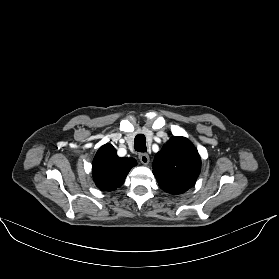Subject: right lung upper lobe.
<instances>
[{
	"label": "right lung upper lobe",
	"mask_w": 279,
	"mask_h": 279,
	"mask_svg": "<svg viewBox=\"0 0 279 279\" xmlns=\"http://www.w3.org/2000/svg\"><path fill=\"white\" fill-rule=\"evenodd\" d=\"M135 165L134 158H120L111 144L103 145L97 151L92 164L96 186L103 191H114L122 186L128 172Z\"/></svg>",
	"instance_id": "1"
}]
</instances>
